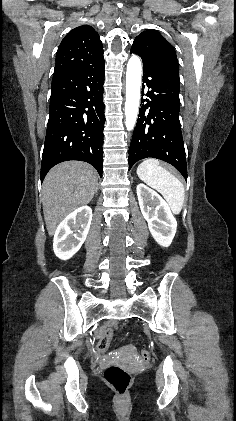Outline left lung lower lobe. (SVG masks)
Returning a JSON list of instances; mask_svg holds the SVG:
<instances>
[{
  "instance_id": "left-lung-lower-lobe-1",
  "label": "left lung lower lobe",
  "mask_w": 236,
  "mask_h": 421,
  "mask_svg": "<svg viewBox=\"0 0 236 421\" xmlns=\"http://www.w3.org/2000/svg\"><path fill=\"white\" fill-rule=\"evenodd\" d=\"M143 60L142 106L129 148V170L139 160L153 157L173 165L187 180L185 149L181 133L179 72L165 64ZM148 87L150 91L144 92ZM146 102V104H144Z\"/></svg>"
}]
</instances>
